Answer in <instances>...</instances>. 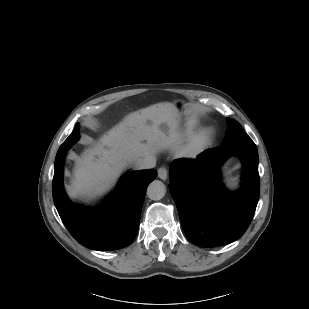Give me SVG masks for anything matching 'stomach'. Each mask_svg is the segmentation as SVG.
I'll use <instances>...</instances> for the list:
<instances>
[{
	"mask_svg": "<svg viewBox=\"0 0 309 309\" xmlns=\"http://www.w3.org/2000/svg\"><path fill=\"white\" fill-rule=\"evenodd\" d=\"M174 107L177 110L179 117L187 116L191 111V106L183 101H176Z\"/></svg>",
	"mask_w": 309,
	"mask_h": 309,
	"instance_id": "1",
	"label": "stomach"
}]
</instances>
